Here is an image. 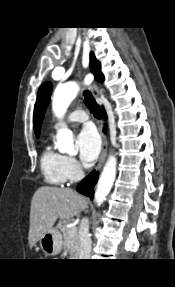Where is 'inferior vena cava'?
Here are the masks:
<instances>
[{"instance_id": "602c4592", "label": "inferior vena cava", "mask_w": 175, "mask_h": 287, "mask_svg": "<svg viewBox=\"0 0 175 287\" xmlns=\"http://www.w3.org/2000/svg\"><path fill=\"white\" fill-rule=\"evenodd\" d=\"M80 257L79 259H90L91 238L89 235V223L87 218H83L79 229Z\"/></svg>"}]
</instances>
